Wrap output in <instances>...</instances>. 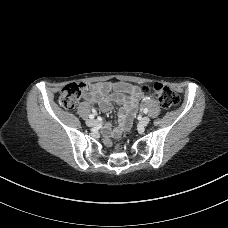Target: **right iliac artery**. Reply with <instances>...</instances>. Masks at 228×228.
Returning <instances> with one entry per match:
<instances>
[{
	"mask_svg": "<svg viewBox=\"0 0 228 228\" xmlns=\"http://www.w3.org/2000/svg\"><path fill=\"white\" fill-rule=\"evenodd\" d=\"M93 113H94V114H90V115H89V118H90V119H93V118H94V115L96 114V110H93Z\"/></svg>",
	"mask_w": 228,
	"mask_h": 228,
	"instance_id": "82829eb1",
	"label": "right iliac artery"
}]
</instances>
